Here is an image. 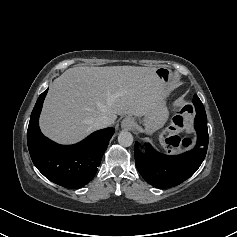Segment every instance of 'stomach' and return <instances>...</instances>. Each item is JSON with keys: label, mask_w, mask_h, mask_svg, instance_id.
I'll return each mask as SVG.
<instances>
[{"label": "stomach", "mask_w": 237, "mask_h": 237, "mask_svg": "<svg viewBox=\"0 0 237 237\" xmlns=\"http://www.w3.org/2000/svg\"><path fill=\"white\" fill-rule=\"evenodd\" d=\"M156 75L162 82V90L157 103L142 118L147 134H151L162 128L169 117L165 99L169 95L174 82V74L166 67H159L156 69Z\"/></svg>", "instance_id": "0dacf381"}]
</instances>
